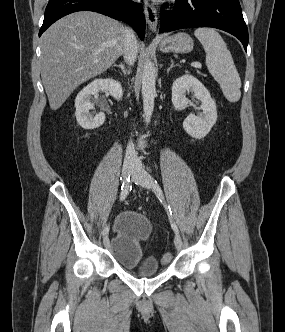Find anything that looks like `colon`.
<instances>
[{"mask_svg":"<svg viewBox=\"0 0 285 332\" xmlns=\"http://www.w3.org/2000/svg\"><path fill=\"white\" fill-rule=\"evenodd\" d=\"M172 259V255L170 253H166L163 257H162V261L164 263H168L170 262Z\"/></svg>","mask_w":285,"mask_h":332,"instance_id":"1","label":"colon"}]
</instances>
